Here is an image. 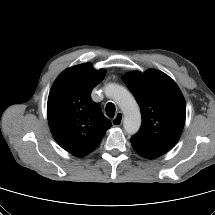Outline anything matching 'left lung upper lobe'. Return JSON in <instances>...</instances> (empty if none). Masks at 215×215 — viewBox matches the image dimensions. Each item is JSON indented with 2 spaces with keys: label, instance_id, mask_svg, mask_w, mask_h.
Masks as SVG:
<instances>
[{
  "label": "left lung upper lobe",
  "instance_id": "left-lung-upper-lobe-1",
  "mask_svg": "<svg viewBox=\"0 0 215 215\" xmlns=\"http://www.w3.org/2000/svg\"><path fill=\"white\" fill-rule=\"evenodd\" d=\"M123 82L141 110L142 125L130 139L133 148L147 159L165 154L179 140L185 123L186 104L180 89L156 69L127 73Z\"/></svg>",
  "mask_w": 215,
  "mask_h": 215
}]
</instances>
